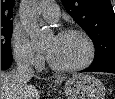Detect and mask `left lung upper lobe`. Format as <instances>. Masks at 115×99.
<instances>
[{
    "instance_id": "5c2ea615",
    "label": "left lung upper lobe",
    "mask_w": 115,
    "mask_h": 99,
    "mask_svg": "<svg viewBox=\"0 0 115 99\" xmlns=\"http://www.w3.org/2000/svg\"><path fill=\"white\" fill-rule=\"evenodd\" d=\"M95 45L92 66L115 62V15L110 0H62Z\"/></svg>"
}]
</instances>
